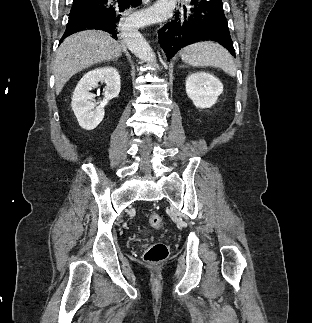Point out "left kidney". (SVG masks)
Segmentation results:
<instances>
[{"label":"left kidney","mask_w":312,"mask_h":323,"mask_svg":"<svg viewBox=\"0 0 312 323\" xmlns=\"http://www.w3.org/2000/svg\"><path fill=\"white\" fill-rule=\"evenodd\" d=\"M222 92L223 86L213 74L196 72L186 80V94L197 108H211Z\"/></svg>","instance_id":"left-kidney-1"}]
</instances>
